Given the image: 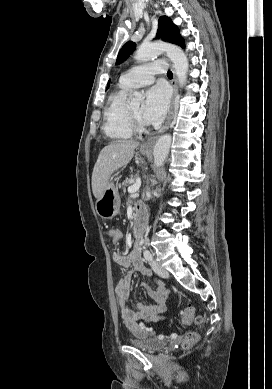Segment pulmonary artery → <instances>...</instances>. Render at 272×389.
<instances>
[{
  "instance_id": "pulmonary-artery-1",
  "label": "pulmonary artery",
  "mask_w": 272,
  "mask_h": 389,
  "mask_svg": "<svg viewBox=\"0 0 272 389\" xmlns=\"http://www.w3.org/2000/svg\"><path fill=\"white\" fill-rule=\"evenodd\" d=\"M167 65L164 60L144 63L135 66L124 73L120 83L128 88H137L153 83L156 74L165 73Z\"/></svg>"
}]
</instances>
